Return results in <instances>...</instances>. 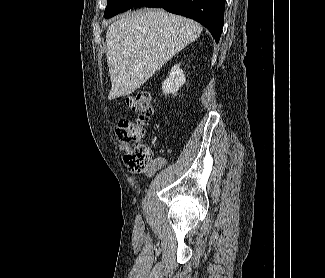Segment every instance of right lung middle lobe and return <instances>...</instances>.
<instances>
[{"instance_id":"dd1d6c3e","label":"right lung middle lobe","mask_w":325,"mask_h":278,"mask_svg":"<svg viewBox=\"0 0 325 278\" xmlns=\"http://www.w3.org/2000/svg\"><path fill=\"white\" fill-rule=\"evenodd\" d=\"M105 9V18L113 17L114 15L131 9L137 0H107Z\"/></svg>"}]
</instances>
